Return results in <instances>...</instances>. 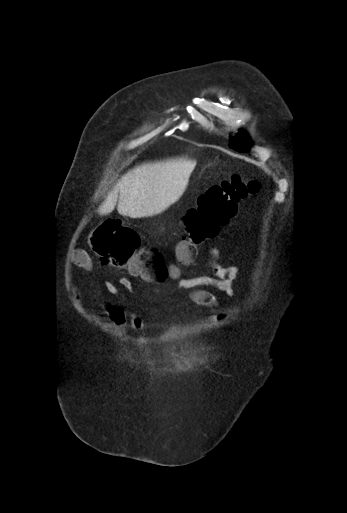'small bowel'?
Segmentation results:
<instances>
[{"label": "small bowel", "mask_w": 347, "mask_h": 513, "mask_svg": "<svg viewBox=\"0 0 347 513\" xmlns=\"http://www.w3.org/2000/svg\"><path fill=\"white\" fill-rule=\"evenodd\" d=\"M218 257L219 250L215 247L211 248L207 253V264L211 275L181 278L178 269H173L171 275L177 281L178 290L187 292L193 304L208 310L212 317L219 319L225 317L226 314L219 312L217 298L211 290L223 292L229 297H239L241 289L238 283L241 279L242 271L235 265L219 264L217 262ZM71 262L86 272L92 270L90 257L82 250L75 252ZM120 284L127 290L132 289V282L129 278H121ZM105 290L112 295L119 294L118 288L114 285H105ZM72 294L76 300H81V293L77 288L73 287ZM101 316L120 329H131L133 331H144L147 329V324L141 315L128 314L112 303L104 305Z\"/></svg>", "instance_id": "1"}]
</instances>
